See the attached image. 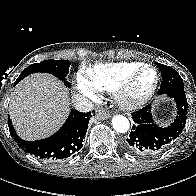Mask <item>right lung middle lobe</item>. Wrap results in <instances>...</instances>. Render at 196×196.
Listing matches in <instances>:
<instances>
[{"instance_id":"dd1d6c3e","label":"right lung middle lobe","mask_w":196,"mask_h":196,"mask_svg":"<svg viewBox=\"0 0 196 196\" xmlns=\"http://www.w3.org/2000/svg\"><path fill=\"white\" fill-rule=\"evenodd\" d=\"M71 62L68 60H45L41 63H35L28 66L26 69L22 71L16 83L21 81L26 76L37 73V72H44L50 73L60 80H65V77L68 74L69 66ZM65 84L70 87V83L65 81Z\"/></svg>"}]
</instances>
